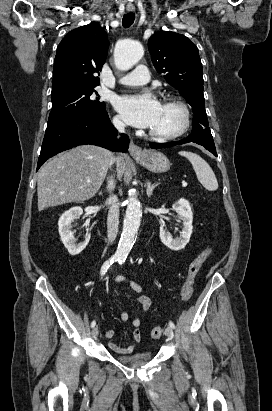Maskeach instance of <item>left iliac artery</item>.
<instances>
[{"label":"left iliac artery","instance_id":"obj_1","mask_svg":"<svg viewBox=\"0 0 272 411\" xmlns=\"http://www.w3.org/2000/svg\"><path fill=\"white\" fill-rule=\"evenodd\" d=\"M118 262H119V264H122V263L125 262V259H119ZM169 326L173 329L175 328V324L172 321L169 322Z\"/></svg>","mask_w":272,"mask_h":411}]
</instances>
